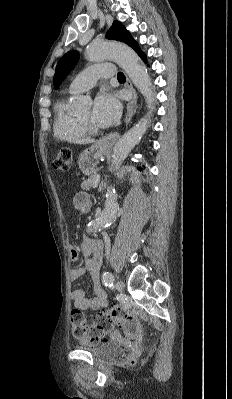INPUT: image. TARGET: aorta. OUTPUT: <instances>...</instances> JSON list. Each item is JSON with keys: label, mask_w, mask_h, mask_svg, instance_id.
I'll return each mask as SVG.
<instances>
[{"label": "aorta", "mask_w": 232, "mask_h": 399, "mask_svg": "<svg viewBox=\"0 0 232 399\" xmlns=\"http://www.w3.org/2000/svg\"><path fill=\"white\" fill-rule=\"evenodd\" d=\"M85 56L89 61L114 60L129 76L133 84L149 103L154 101L152 82L146 67L142 64L135 51L122 43L96 41L87 46ZM86 104L85 99L78 98L75 106L81 108ZM149 124V118H142L130 130H128L115 144L112 154V165L118 169L127 158L131 150L138 144ZM118 210L117 194L113 187H109L106 193L104 210L100 215L88 224L87 231H97L112 224Z\"/></svg>", "instance_id": "aorta-1"}]
</instances>
